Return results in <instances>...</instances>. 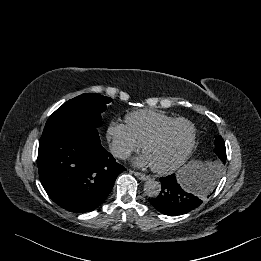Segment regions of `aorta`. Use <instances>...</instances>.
Here are the masks:
<instances>
[{"label":"aorta","instance_id":"aorta-1","mask_svg":"<svg viewBox=\"0 0 261 261\" xmlns=\"http://www.w3.org/2000/svg\"><path fill=\"white\" fill-rule=\"evenodd\" d=\"M161 191V183L155 179H148L144 184V192L149 197H157Z\"/></svg>","mask_w":261,"mask_h":261}]
</instances>
